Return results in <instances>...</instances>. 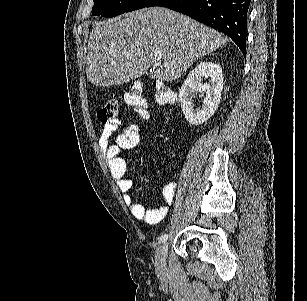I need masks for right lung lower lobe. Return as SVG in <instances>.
<instances>
[{
    "label": "right lung lower lobe",
    "mask_w": 307,
    "mask_h": 301,
    "mask_svg": "<svg viewBox=\"0 0 307 301\" xmlns=\"http://www.w3.org/2000/svg\"><path fill=\"white\" fill-rule=\"evenodd\" d=\"M251 0H152L228 35L246 56L247 21Z\"/></svg>",
    "instance_id": "98d812e1"
}]
</instances>
